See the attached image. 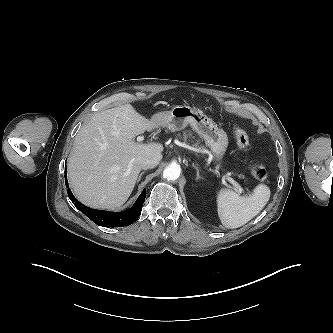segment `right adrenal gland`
Masks as SVG:
<instances>
[{
  "label": "right adrenal gland",
  "instance_id": "obj_1",
  "mask_svg": "<svg viewBox=\"0 0 333 333\" xmlns=\"http://www.w3.org/2000/svg\"><path fill=\"white\" fill-rule=\"evenodd\" d=\"M143 174H144V171L139 174L138 179H137V183L141 180V177H142Z\"/></svg>",
  "mask_w": 333,
  "mask_h": 333
}]
</instances>
